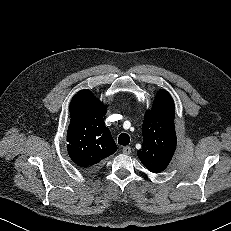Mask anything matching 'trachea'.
Returning <instances> with one entry per match:
<instances>
[{
  "label": "trachea",
  "mask_w": 231,
  "mask_h": 231,
  "mask_svg": "<svg viewBox=\"0 0 231 231\" xmlns=\"http://www.w3.org/2000/svg\"><path fill=\"white\" fill-rule=\"evenodd\" d=\"M130 142V137L126 133H122L118 137V143L122 146H127Z\"/></svg>",
  "instance_id": "1"
}]
</instances>
